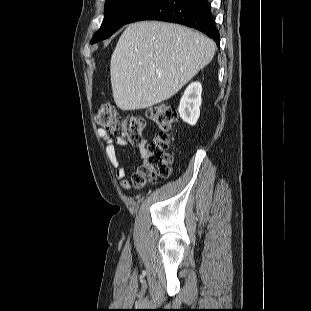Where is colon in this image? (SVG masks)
I'll list each match as a JSON object with an SVG mask.
<instances>
[{"mask_svg":"<svg viewBox=\"0 0 311 311\" xmlns=\"http://www.w3.org/2000/svg\"><path fill=\"white\" fill-rule=\"evenodd\" d=\"M177 114L168 104H160L150 108L147 118L158 127L157 136L150 142L146 152L132 177L135 187H142L154 177L164 178L170 174L172 162L169 153L170 134ZM95 122L108 130H121L122 134L132 143L138 144L143 140L146 120L143 116L130 115L120 119L116 109L109 103H103L95 113Z\"/></svg>","mask_w":311,"mask_h":311,"instance_id":"colon-1","label":"colon"}]
</instances>
